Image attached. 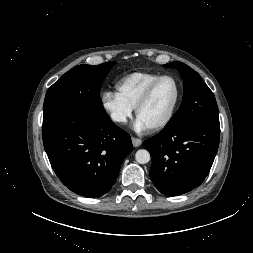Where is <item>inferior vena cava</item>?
I'll list each match as a JSON object with an SVG mask.
<instances>
[{
	"mask_svg": "<svg viewBox=\"0 0 253 253\" xmlns=\"http://www.w3.org/2000/svg\"><path fill=\"white\" fill-rule=\"evenodd\" d=\"M111 118L113 121H116V122H124L125 121V117H123L122 115H118V114H111Z\"/></svg>",
	"mask_w": 253,
	"mask_h": 253,
	"instance_id": "602c4592",
	"label": "inferior vena cava"
}]
</instances>
